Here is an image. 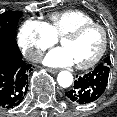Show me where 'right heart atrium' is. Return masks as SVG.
Wrapping results in <instances>:
<instances>
[{
	"mask_svg": "<svg viewBox=\"0 0 117 117\" xmlns=\"http://www.w3.org/2000/svg\"><path fill=\"white\" fill-rule=\"evenodd\" d=\"M56 41L47 24L42 21L25 20L18 31L19 45L26 58L32 62L39 61L44 51Z\"/></svg>",
	"mask_w": 117,
	"mask_h": 117,
	"instance_id": "1",
	"label": "right heart atrium"
}]
</instances>
